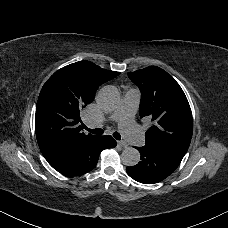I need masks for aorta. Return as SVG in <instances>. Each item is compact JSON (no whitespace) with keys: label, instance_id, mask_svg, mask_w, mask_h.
<instances>
[{"label":"aorta","instance_id":"762f6f07","mask_svg":"<svg viewBox=\"0 0 228 228\" xmlns=\"http://www.w3.org/2000/svg\"><path fill=\"white\" fill-rule=\"evenodd\" d=\"M120 101L118 90L114 86H104L100 89L97 95L98 105L106 110H114ZM121 160L126 166H135L140 161V153L133 147H126L121 154Z\"/></svg>","mask_w":228,"mask_h":228}]
</instances>
